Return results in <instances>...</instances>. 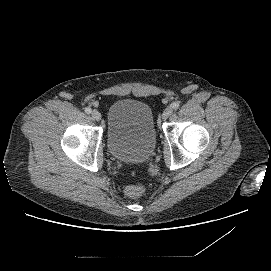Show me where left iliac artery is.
Masks as SVG:
<instances>
[{
  "instance_id": "1",
  "label": "left iliac artery",
  "mask_w": 271,
  "mask_h": 271,
  "mask_svg": "<svg viewBox=\"0 0 271 271\" xmlns=\"http://www.w3.org/2000/svg\"><path fill=\"white\" fill-rule=\"evenodd\" d=\"M179 106H180V103H179V102H174V103L172 104V108L175 109V110L178 109Z\"/></svg>"
}]
</instances>
